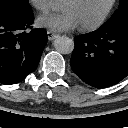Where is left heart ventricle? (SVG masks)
<instances>
[{
	"label": "left heart ventricle",
	"instance_id": "b2bd125f",
	"mask_svg": "<svg viewBox=\"0 0 128 128\" xmlns=\"http://www.w3.org/2000/svg\"><path fill=\"white\" fill-rule=\"evenodd\" d=\"M110 0H63L62 10L70 11L79 25L96 21L109 5Z\"/></svg>",
	"mask_w": 128,
	"mask_h": 128
}]
</instances>
